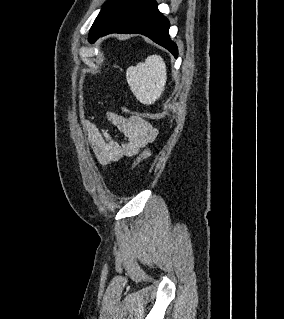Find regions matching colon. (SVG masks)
Returning a JSON list of instances; mask_svg holds the SVG:
<instances>
[{
	"instance_id": "1",
	"label": "colon",
	"mask_w": 284,
	"mask_h": 319,
	"mask_svg": "<svg viewBox=\"0 0 284 319\" xmlns=\"http://www.w3.org/2000/svg\"><path fill=\"white\" fill-rule=\"evenodd\" d=\"M122 109L126 113H133L134 116H138V117H141L143 119L161 120V119L168 118L170 116L166 112H163V113H137V112H132L128 108H125V107H123ZM150 156H151V151L150 150H145L135 160L134 167H137L138 165H140L143 161L148 159Z\"/></svg>"
}]
</instances>
